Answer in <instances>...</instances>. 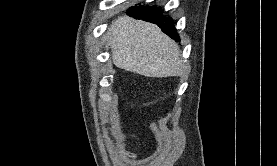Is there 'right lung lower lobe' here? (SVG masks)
I'll return each mask as SVG.
<instances>
[{
    "mask_svg": "<svg viewBox=\"0 0 277 166\" xmlns=\"http://www.w3.org/2000/svg\"><path fill=\"white\" fill-rule=\"evenodd\" d=\"M129 15L135 17L136 19H143L157 24L162 31L165 32L169 37L180 41V38L174 27L173 20L171 18H166L161 16L160 8L154 7H145V6H132L128 10Z\"/></svg>",
    "mask_w": 277,
    "mask_h": 166,
    "instance_id": "98d812e1",
    "label": "right lung lower lobe"
}]
</instances>
